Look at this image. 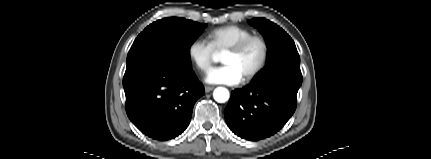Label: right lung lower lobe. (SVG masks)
<instances>
[{"label":"right lung lower lobe","instance_id":"right-lung-lower-lobe-1","mask_svg":"<svg viewBox=\"0 0 431 159\" xmlns=\"http://www.w3.org/2000/svg\"><path fill=\"white\" fill-rule=\"evenodd\" d=\"M123 87L129 119L143 134L160 141L184 132L195 102L205 93L192 68L163 58L127 66Z\"/></svg>","mask_w":431,"mask_h":159}]
</instances>
